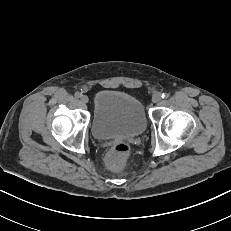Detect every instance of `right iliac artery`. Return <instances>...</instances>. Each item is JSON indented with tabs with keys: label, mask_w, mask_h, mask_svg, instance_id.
I'll use <instances>...</instances> for the list:
<instances>
[{
	"label": "right iliac artery",
	"mask_w": 231,
	"mask_h": 231,
	"mask_svg": "<svg viewBox=\"0 0 231 231\" xmlns=\"http://www.w3.org/2000/svg\"><path fill=\"white\" fill-rule=\"evenodd\" d=\"M75 97L80 98V97H81V93L76 92V93H75Z\"/></svg>",
	"instance_id": "obj_1"
}]
</instances>
